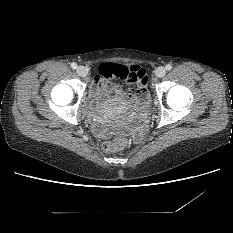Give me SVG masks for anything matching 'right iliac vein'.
I'll use <instances>...</instances> for the list:
<instances>
[{
    "label": "right iliac vein",
    "instance_id": "63e3f726",
    "mask_svg": "<svg viewBox=\"0 0 233 233\" xmlns=\"http://www.w3.org/2000/svg\"><path fill=\"white\" fill-rule=\"evenodd\" d=\"M76 72L79 76L85 77L87 74V69L84 66H78Z\"/></svg>",
    "mask_w": 233,
    "mask_h": 233
}]
</instances>
